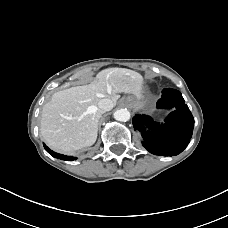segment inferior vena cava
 Wrapping results in <instances>:
<instances>
[{
    "mask_svg": "<svg viewBox=\"0 0 228 228\" xmlns=\"http://www.w3.org/2000/svg\"><path fill=\"white\" fill-rule=\"evenodd\" d=\"M98 107L103 111H109L112 108V101L108 98L101 99Z\"/></svg>",
    "mask_w": 228,
    "mask_h": 228,
    "instance_id": "1",
    "label": "inferior vena cava"
}]
</instances>
